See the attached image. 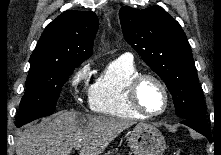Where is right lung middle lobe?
I'll list each match as a JSON object with an SVG mask.
<instances>
[{"instance_id": "1", "label": "right lung middle lobe", "mask_w": 221, "mask_h": 155, "mask_svg": "<svg viewBox=\"0 0 221 155\" xmlns=\"http://www.w3.org/2000/svg\"><path fill=\"white\" fill-rule=\"evenodd\" d=\"M30 65L26 91L15 123L17 127L53 114L61 87L80 64L38 61L30 62Z\"/></svg>"}]
</instances>
